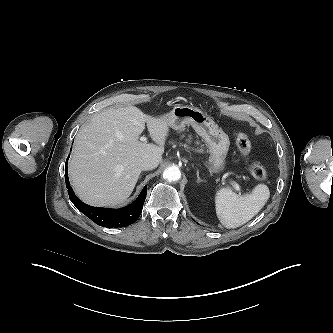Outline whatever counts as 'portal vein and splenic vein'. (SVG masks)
<instances>
[{
  "label": "portal vein and splenic vein",
  "instance_id": "obj_1",
  "mask_svg": "<svg viewBox=\"0 0 333 333\" xmlns=\"http://www.w3.org/2000/svg\"><path fill=\"white\" fill-rule=\"evenodd\" d=\"M140 141H146V138L145 137H140ZM230 183L236 191L240 192V186H239L238 183H236L234 180H230Z\"/></svg>",
  "mask_w": 333,
  "mask_h": 333
}]
</instances>
